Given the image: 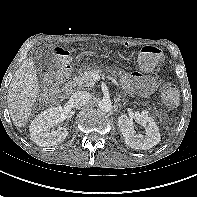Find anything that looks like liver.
<instances>
[{
    "label": "liver",
    "instance_id": "liver-1",
    "mask_svg": "<svg viewBox=\"0 0 197 197\" xmlns=\"http://www.w3.org/2000/svg\"><path fill=\"white\" fill-rule=\"evenodd\" d=\"M38 93L37 71L33 59L29 58L18 68L8 89V108L15 126L26 125Z\"/></svg>",
    "mask_w": 197,
    "mask_h": 197
}]
</instances>
